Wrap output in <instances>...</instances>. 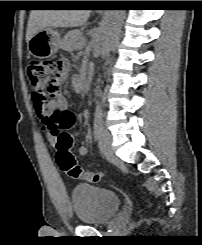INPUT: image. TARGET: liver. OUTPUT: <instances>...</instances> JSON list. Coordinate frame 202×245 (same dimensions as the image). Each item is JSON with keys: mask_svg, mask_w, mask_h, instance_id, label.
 <instances>
[{"mask_svg": "<svg viewBox=\"0 0 202 245\" xmlns=\"http://www.w3.org/2000/svg\"><path fill=\"white\" fill-rule=\"evenodd\" d=\"M90 10H32L30 12L26 42L46 27H78L86 23Z\"/></svg>", "mask_w": 202, "mask_h": 245, "instance_id": "obj_1", "label": "liver"}]
</instances>
